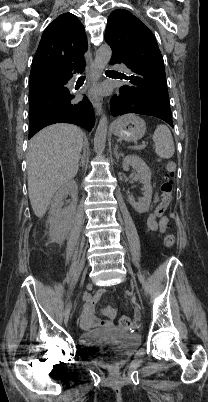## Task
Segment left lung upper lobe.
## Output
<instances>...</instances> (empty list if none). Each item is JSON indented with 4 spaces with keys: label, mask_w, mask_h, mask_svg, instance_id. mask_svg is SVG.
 <instances>
[{
    "label": "left lung upper lobe",
    "mask_w": 208,
    "mask_h": 402,
    "mask_svg": "<svg viewBox=\"0 0 208 402\" xmlns=\"http://www.w3.org/2000/svg\"><path fill=\"white\" fill-rule=\"evenodd\" d=\"M105 41L112 55L131 71V91L170 105L164 61L150 29L124 9L113 11L107 21Z\"/></svg>",
    "instance_id": "obj_1"
}]
</instances>
